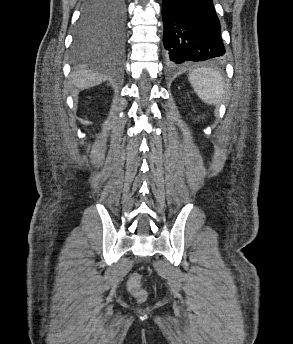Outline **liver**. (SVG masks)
Returning a JSON list of instances; mask_svg holds the SVG:
<instances>
[{"instance_id": "obj_1", "label": "liver", "mask_w": 293, "mask_h": 344, "mask_svg": "<svg viewBox=\"0 0 293 344\" xmlns=\"http://www.w3.org/2000/svg\"><path fill=\"white\" fill-rule=\"evenodd\" d=\"M72 79L74 87L84 89L101 84L106 78L102 74L80 69L73 73Z\"/></svg>"}]
</instances>
